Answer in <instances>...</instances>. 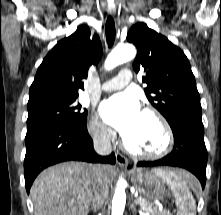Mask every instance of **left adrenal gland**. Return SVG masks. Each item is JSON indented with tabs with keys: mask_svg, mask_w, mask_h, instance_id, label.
I'll list each match as a JSON object with an SVG mask.
<instances>
[{
	"mask_svg": "<svg viewBox=\"0 0 221 215\" xmlns=\"http://www.w3.org/2000/svg\"><path fill=\"white\" fill-rule=\"evenodd\" d=\"M130 208H131L132 210H134V212H137L136 205H135L134 202L131 203Z\"/></svg>",
	"mask_w": 221,
	"mask_h": 215,
	"instance_id": "obj_1",
	"label": "left adrenal gland"
}]
</instances>
